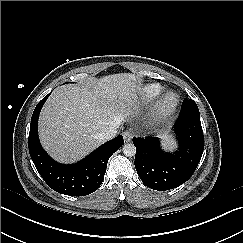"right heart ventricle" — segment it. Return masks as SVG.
<instances>
[{"label": "right heart ventricle", "mask_w": 243, "mask_h": 243, "mask_svg": "<svg viewBox=\"0 0 243 243\" xmlns=\"http://www.w3.org/2000/svg\"><path fill=\"white\" fill-rule=\"evenodd\" d=\"M164 87L158 83L145 84L137 91L138 102L149 105L155 102L163 93Z\"/></svg>", "instance_id": "e07e8e85"}]
</instances>
